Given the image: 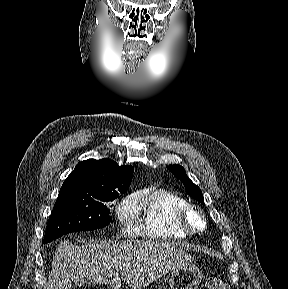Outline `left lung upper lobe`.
<instances>
[{
    "mask_svg": "<svg viewBox=\"0 0 288 289\" xmlns=\"http://www.w3.org/2000/svg\"><path fill=\"white\" fill-rule=\"evenodd\" d=\"M167 168L174 174L175 177L180 179L185 186L186 193L198 200L201 203H204L202 191L198 186H196L186 175L184 168L180 165H170Z\"/></svg>",
    "mask_w": 288,
    "mask_h": 289,
    "instance_id": "obj_1",
    "label": "left lung upper lobe"
}]
</instances>
